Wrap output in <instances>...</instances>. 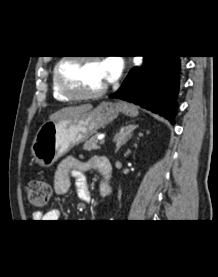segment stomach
Wrapping results in <instances>:
<instances>
[{"label": "stomach", "mask_w": 218, "mask_h": 277, "mask_svg": "<svg viewBox=\"0 0 218 277\" xmlns=\"http://www.w3.org/2000/svg\"><path fill=\"white\" fill-rule=\"evenodd\" d=\"M119 113L136 116V108L126 102H102L80 115L48 121L37 131L31 154L41 167L52 166L74 146L88 140L97 130L116 119Z\"/></svg>", "instance_id": "obj_1"}]
</instances>
